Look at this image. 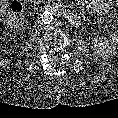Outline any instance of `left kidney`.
<instances>
[{"label": "left kidney", "mask_w": 118, "mask_h": 118, "mask_svg": "<svg viewBox=\"0 0 118 118\" xmlns=\"http://www.w3.org/2000/svg\"><path fill=\"white\" fill-rule=\"evenodd\" d=\"M92 48L98 55L110 57L116 53V46L112 40L105 36H95L92 40Z\"/></svg>", "instance_id": "left-kidney-1"}]
</instances>
